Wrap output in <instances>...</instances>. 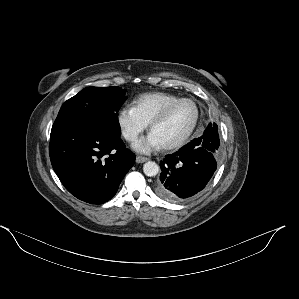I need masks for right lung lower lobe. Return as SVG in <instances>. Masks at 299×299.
I'll use <instances>...</instances> for the list:
<instances>
[{"mask_svg": "<svg viewBox=\"0 0 299 299\" xmlns=\"http://www.w3.org/2000/svg\"><path fill=\"white\" fill-rule=\"evenodd\" d=\"M50 159L64 187L76 198L102 204L117 192L135 155L120 136L74 129L50 138Z\"/></svg>", "mask_w": 299, "mask_h": 299, "instance_id": "1", "label": "right lung lower lobe"}]
</instances>
